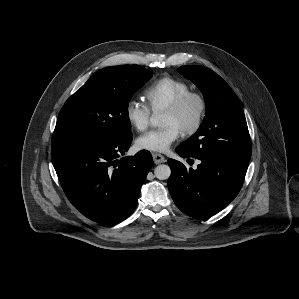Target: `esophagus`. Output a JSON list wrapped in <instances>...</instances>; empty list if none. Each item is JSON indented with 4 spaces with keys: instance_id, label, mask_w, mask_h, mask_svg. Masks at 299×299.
Returning <instances> with one entry per match:
<instances>
[{
    "instance_id": "34e87169",
    "label": "esophagus",
    "mask_w": 299,
    "mask_h": 299,
    "mask_svg": "<svg viewBox=\"0 0 299 299\" xmlns=\"http://www.w3.org/2000/svg\"><path fill=\"white\" fill-rule=\"evenodd\" d=\"M152 156H153V160H154L155 164H160V163L166 162V158L161 154L154 153Z\"/></svg>"
}]
</instances>
